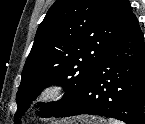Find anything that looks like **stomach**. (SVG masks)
I'll return each mask as SVG.
<instances>
[{
  "instance_id": "1",
  "label": "stomach",
  "mask_w": 145,
  "mask_h": 124,
  "mask_svg": "<svg viewBox=\"0 0 145 124\" xmlns=\"http://www.w3.org/2000/svg\"><path fill=\"white\" fill-rule=\"evenodd\" d=\"M56 124H106L103 119L93 116H80L69 120H64Z\"/></svg>"
}]
</instances>
